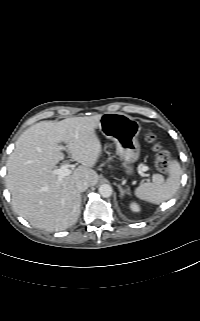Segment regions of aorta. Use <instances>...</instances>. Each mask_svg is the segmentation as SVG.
<instances>
[{"label":"aorta","instance_id":"1","mask_svg":"<svg viewBox=\"0 0 200 321\" xmlns=\"http://www.w3.org/2000/svg\"><path fill=\"white\" fill-rule=\"evenodd\" d=\"M98 190L100 195L104 198H108L112 195V187L108 184H102Z\"/></svg>","mask_w":200,"mask_h":321}]
</instances>
